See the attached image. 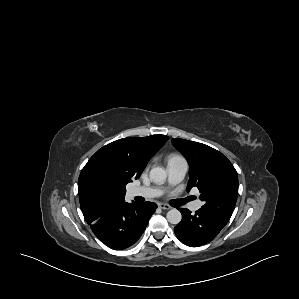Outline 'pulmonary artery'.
<instances>
[{"mask_svg": "<svg viewBox=\"0 0 299 299\" xmlns=\"http://www.w3.org/2000/svg\"><path fill=\"white\" fill-rule=\"evenodd\" d=\"M168 183L171 186H174L180 183L188 169L187 162L184 159L174 160L168 162ZM164 192V189L161 187H136L133 188L131 194L133 196H142L147 198L160 196ZM201 207V202L199 200L193 202L190 205L192 211H197Z\"/></svg>", "mask_w": 299, "mask_h": 299, "instance_id": "pulmonary-artery-1", "label": "pulmonary artery"}]
</instances>
